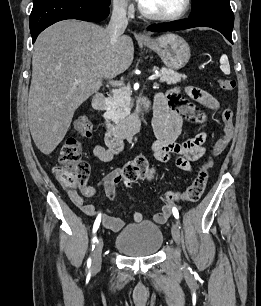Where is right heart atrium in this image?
<instances>
[{"label": "right heart atrium", "mask_w": 261, "mask_h": 306, "mask_svg": "<svg viewBox=\"0 0 261 306\" xmlns=\"http://www.w3.org/2000/svg\"><path fill=\"white\" fill-rule=\"evenodd\" d=\"M111 5L114 12L118 14H127L132 10V5L129 0H111Z\"/></svg>", "instance_id": "right-heart-atrium-1"}]
</instances>
